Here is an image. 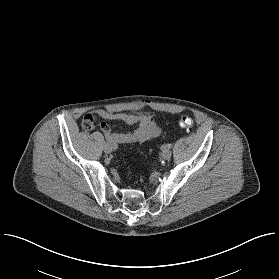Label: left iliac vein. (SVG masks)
Masks as SVG:
<instances>
[{
  "mask_svg": "<svg viewBox=\"0 0 279 279\" xmlns=\"http://www.w3.org/2000/svg\"><path fill=\"white\" fill-rule=\"evenodd\" d=\"M172 156V152L171 150L169 149H166L162 152L161 154V157L164 159V160H168L170 157Z\"/></svg>",
  "mask_w": 279,
  "mask_h": 279,
  "instance_id": "1",
  "label": "left iliac vein"
}]
</instances>
